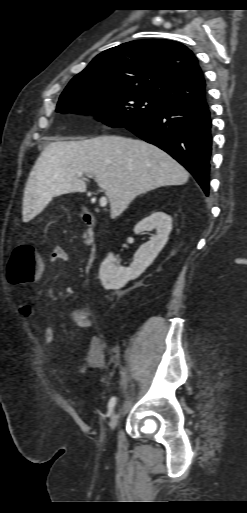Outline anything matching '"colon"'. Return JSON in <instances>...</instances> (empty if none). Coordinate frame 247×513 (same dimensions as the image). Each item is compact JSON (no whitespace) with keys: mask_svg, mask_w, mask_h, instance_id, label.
Segmentation results:
<instances>
[{"mask_svg":"<svg viewBox=\"0 0 247 513\" xmlns=\"http://www.w3.org/2000/svg\"><path fill=\"white\" fill-rule=\"evenodd\" d=\"M42 266L30 243L18 244L10 257L6 277L10 284H27L35 281Z\"/></svg>","mask_w":247,"mask_h":513,"instance_id":"1","label":"colon"}]
</instances>
